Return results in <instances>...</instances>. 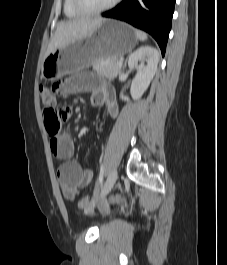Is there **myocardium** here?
Segmentation results:
<instances>
[{"instance_id": "1", "label": "myocardium", "mask_w": 227, "mask_h": 265, "mask_svg": "<svg viewBox=\"0 0 227 265\" xmlns=\"http://www.w3.org/2000/svg\"><path fill=\"white\" fill-rule=\"evenodd\" d=\"M121 0H112L107 5L96 8V9H89L84 6L82 0H72L74 8L81 13L82 15H95L104 13L112 8H114Z\"/></svg>"}]
</instances>
